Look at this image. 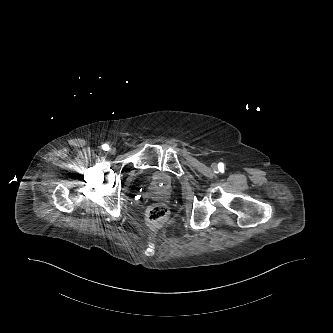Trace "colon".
<instances>
[{
  "label": "colon",
  "instance_id": "1",
  "mask_svg": "<svg viewBox=\"0 0 333 333\" xmlns=\"http://www.w3.org/2000/svg\"><path fill=\"white\" fill-rule=\"evenodd\" d=\"M168 208L162 204L157 203L151 206L147 212V220L151 228L158 229L168 217Z\"/></svg>",
  "mask_w": 333,
  "mask_h": 333
}]
</instances>
